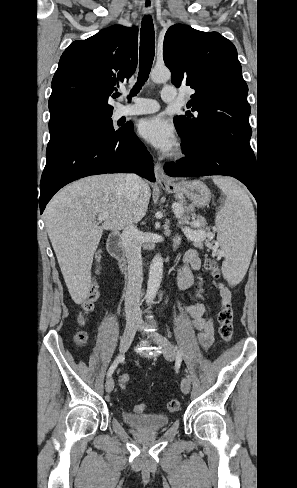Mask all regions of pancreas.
Listing matches in <instances>:
<instances>
[{
    "mask_svg": "<svg viewBox=\"0 0 297 488\" xmlns=\"http://www.w3.org/2000/svg\"><path fill=\"white\" fill-rule=\"evenodd\" d=\"M181 206H183V203L180 202L179 203ZM184 213V212H183ZM190 219V216H189V213L187 212V214H184L183 217H182V221L183 222H186ZM195 222L199 223V225H203L205 223V220L203 218H198ZM196 245H199L198 242L195 243Z\"/></svg>",
    "mask_w": 297,
    "mask_h": 488,
    "instance_id": "cf45deb5",
    "label": "pancreas"
}]
</instances>
